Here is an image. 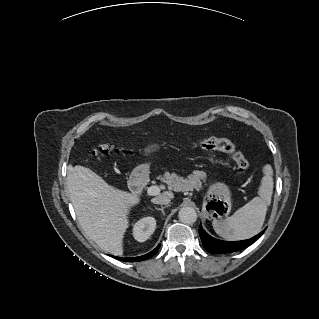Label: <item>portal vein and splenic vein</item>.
Wrapping results in <instances>:
<instances>
[{
	"mask_svg": "<svg viewBox=\"0 0 319 319\" xmlns=\"http://www.w3.org/2000/svg\"><path fill=\"white\" fill-rule=\"evenodd\" d=\"M160 193V188L158 186H151L148 188V194L150 196L158 195Z\"/></svg>",
	"mask_w": 319,
	"mask_h": 319,
	"instance_id": "18ae733b",
	"label": "portal vein and splenic vein"
}]
</instances>
